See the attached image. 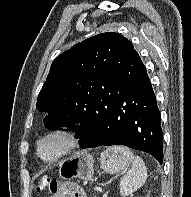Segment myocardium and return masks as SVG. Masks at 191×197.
Here are the masks:
<instances>
[{"instance_id":"f54148a6","label":"myocardium","mask_w":191,"mask_h":197,"mask_svg":"<svg viewBox=\"0 0 191 197\" xmlns=\"http://www.w3.org/2000/svg\"><path fill=\"white\" fill-rule=\"evenodd\" d=\"M52 138L61 140L63 147L58 154L46 158L42 154V144ZM80 145V137L76 130L66 126H57L45 131L36 142L37 157L46 164L58 162L72 154Z\"/></svg>"}]
</instances>
